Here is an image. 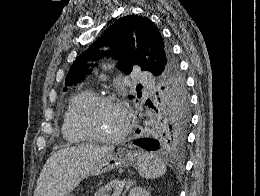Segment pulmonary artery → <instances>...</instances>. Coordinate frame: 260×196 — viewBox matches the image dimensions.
Returning <instances> with one entry per match:
<instances>
[{
	"instance_id": "obj_1",
	"label": "pulmonary artery",
	"mask_w": 260,
	"mask_h": 196,
	"mask_svg": "<svg viewBox=\"0 0 260 196\" xmlns=\"http://www.w3.org/2000/svg\"><path fill=\"white\" fill-rule=\"evenodd\" d=\"M135 77L140 84H155V79H152L150 72H135Z\"/></svg>"
}]
</instances>
